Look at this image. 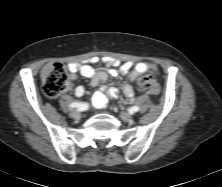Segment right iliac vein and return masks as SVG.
Masks as SVG:
<instances>
[{"mask_svg":"<svg viewBox=\"0 0 222 187\" xmlns=\"http://www.w3.org/2000/svg\"><path fill=\"white\" fill-rule=\"evenodd\" d=\"M69 116H70L71 118L77 119V118H79L80 113H79V111H77V110H71L70 113H69Z\"/></svg>","mask_w":222,"mask_h":187,"instance_id":"1","label":"right iliac vein"}]
</instances>
